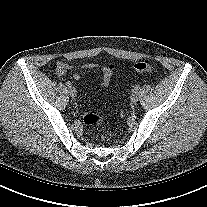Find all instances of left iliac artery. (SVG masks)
<instances>
[{
  "label": "left iliac artery",
  "mask_w": 207,
  "mask_h": 207,
  "mask_svg": "<svg viewBox=\"0 0 207 207\" xmlns=\"http://www.w3.org/2000/svg\"><path fill=\"white\" fill-rule=\"evenodd\" d=\"M139 88H140L139 85H135V86H134V89H135L136 91L139 90Z\"/></svg>",
  "instance_id": "left-iliac-artery-1"
}]
</instances>
